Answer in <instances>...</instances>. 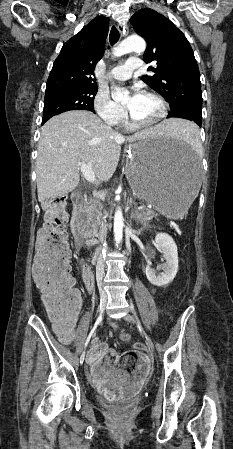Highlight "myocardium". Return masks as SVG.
<instances>
[{
	"instance_id": "obj_1",
	"label": "myocardium",
	"mask_w": 233,
	"mask_h": 449,
	"mask_svg": "<svg viewBox=\"0 0 233 449\" xmlns=\"http://www.w3.org/2000/svg\"><path fill=\"white\" fill-rule=\"evenodd\" d=\"M144 95H148L152 98H154L160 105V113L159 115L151 120V121H146V122H141L138 121L130 111H128V117L130 120V123L134 126V127H138V128H148V127H152L154 125H157L158 123H160L167 115V111H168V104L165 101V99L159 95L158 93L154 92V91H145L143 93Z\"/></svg>"
}]
</instances>
